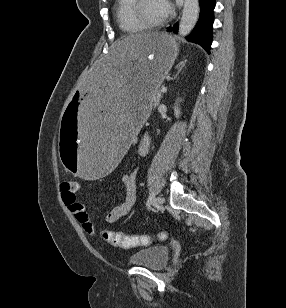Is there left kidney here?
Instances as JSON below:
<instances>
[{
  "label": "left kidney",
  "mask_w": 286,
  "mask_h": 308,
  "mask_svg": "<svg viewBox=\"0 0 286 308\" xmlns=\"http://www.w3.org/2000/svg\"><path fill=\"white\" fill-rule=\"evenodd\" d=\"M174 114H175V117L176 118H179L180 114H181V111L178 107V105L176 104L175 107H174Z\"/></svg>",
  "instance_id": "left-kidney-1"
}]
</instances>
